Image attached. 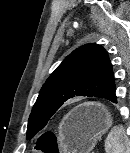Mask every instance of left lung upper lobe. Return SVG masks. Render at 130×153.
<instances>
[{"instance_id":"left-lung-upper-lobe-1","label":"left lung upper lobe","mask_w":130,"mask_h":153,"mask_svg":"<svg viewBox=\"0 0 130 153\" xmlns=\"http://www.w3.org/2000/svg\"><path fill=\"white\" fill-rule=\"evenodd\" d=\"M107 51L86 44L68 55L42 86L28 120L27 139L43 129L65 101L76 96L101 98L112 77Z\"/></svg>"}]
</instances>
